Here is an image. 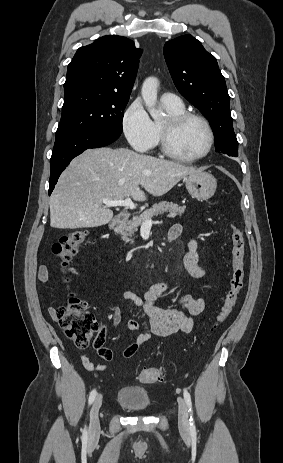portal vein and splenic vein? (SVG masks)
Instances as JSON below:
<instances>
[{
    "mask_svg": "<svg viewBox=\"0 0 283 463\" xmlns=\"http://www.w3.org/2000/svg\"><path fill=\"white\" fill-rule=\"evenodd\" d=\"M103 203L105 204V206H108V207L124 206L125 208L131 209V210L136 208L135 204L132 202L130 197H127L125 199H120V200L103 199ZM152 223L153 221L151 219H147L144 222L145 225H152Z\"/></svg>",
    "mask_w": 283,
    "mask_h": 463,
    "instance_id": "1",
    "label": "portal vein and splenic vein"
}]
</instances>
